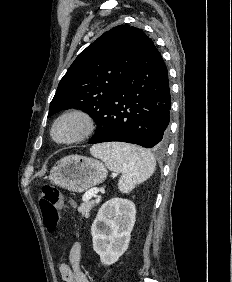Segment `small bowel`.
I'll use <instances>...</instances> for the list:
<instances>
[{"label":"small bowel","instance_id":"1","mask_svg":"<svg viewBox=\"0 0 232 282\" xmlns=\"http://www.w3.org/2000/svg\"><path fill=\"white\" fill-rule=\"evenodd\" d=\"M59 271L64 282H90L81 269V245L75 242L69 250L68 262H62Z\"/></svg>","mask_w":232,"mask_h":282}]
</instances>
